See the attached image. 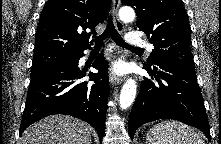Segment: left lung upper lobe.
I'll return each instance as SVG.
<instances>
[{"label":"left lung upper lobe","mask_w":221,"mask_h":144,"mask_svg":"<svg viewBox=\"0 0 221 144\" xmlns=\"http://www.w3.org/2000/svg\"><path fill=\"white\" fill-rule=\"evenodd\" d=\"M137 12V26L154 49L146 63H173L195 69L190 52L191 28L182 0H121Z\"/></svg>","instance_id":"5c2ea615"}]
</instances>
